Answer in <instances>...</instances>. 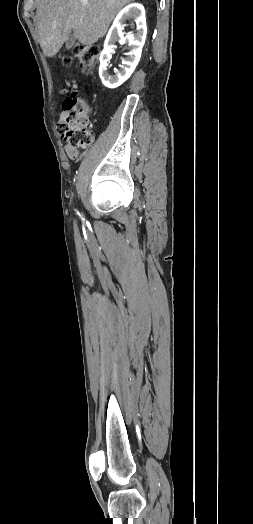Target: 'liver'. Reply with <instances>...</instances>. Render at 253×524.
Wrapping results in <instances>:
<instances>
[{"instance_id": "obj_1", "label": "liver", "mask_w": 253, "mask_h": 524, "mask_svg": "<svg viewBox=\"0 0 253 524\" xmlns=\"http://www.w3.org/2000/svg\"><path fill=\"white\" fill-rule=\"evenodd\" d=\"M134 1L38 0L36 22L43 53L55 56L72 31L82 45L96 43L121 8Z\"/></svg>"}]
</instances>
